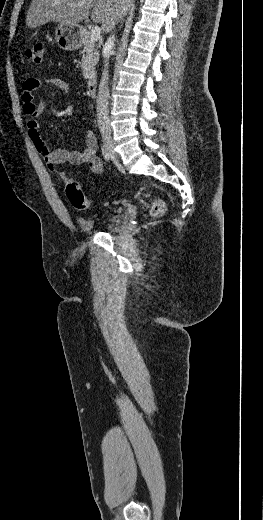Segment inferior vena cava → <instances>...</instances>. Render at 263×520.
Listing matches in <instances>:
<instances>
[{
	"mask_svg": "<svg viewBox=\"0 0 263 520\" xmlns=\"http://www.w3.org/2000/svg\"><path fill=\"white\" fill-rule=\"evenodd\" d=\"M115 26V24H114ZM115 37L111 35L104 46L103 56H104V69L102 71V77L99 84V92L97 96V119L98 126L101 132H110V120H109V110H108V65L109 58L111 55L112 47L114 45Z\"/></svg>",
	"mask_w": 263,
	"mask_h": 520,
	"instance_id": "obj_1",
	"label": "inferior vena cava"
}]
</instances>
